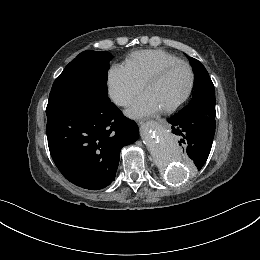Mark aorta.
Segmentation results:
<instances>
[{"mask_svg":"<svg viewBox=\"0 0 260 260\" xmlns=\"http://www.w3.org/2000/svg\"><path fill=\"white\" fill-rule=\"evenodd\" d=\"M141 137L157 167L163 171L169 182H181L188 177L187 163L175 138L169 132L151 123L142 127Z\"/></svg>","mask_w":260,"mask_h":260,"instance_id":"762f6f07","label":"aorta"}]
</instances>
